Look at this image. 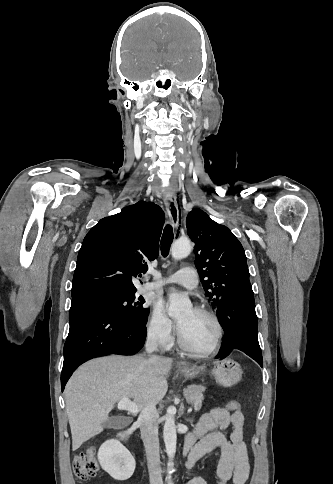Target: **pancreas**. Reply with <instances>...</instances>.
Instances as JSON below:
<instances>
[{
  "mask_svg": "<svg viewBox=\"0 0 333 484\" xmlns=\"http://www.w3.org/2000/svg\"><path fill=\"white\" fill-rule=\"evenodd\" d=\"M205 389L206 388L201 385L189 386L184 391L187 402L189 404H192L194 407L200 408L204 399L203 392L205 391Z\"/></svg>",
  "mask_w": 333,
  "mask_h": 484,
  "instance_id": "cf45deb5",
  "label": "pancreas"
}]
</instances>
